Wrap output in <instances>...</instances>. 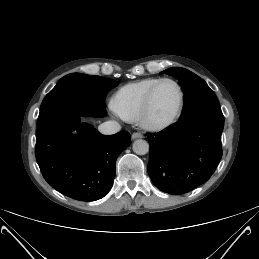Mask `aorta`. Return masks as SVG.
I'll return each mask as SVG.
<instances>
[{
	"label": "aorta",
	"instance_id": "1",
	"mask_svg": "<svg viewBox=\"0 0 259 259\" xmlns=\"http://www.w3.org/2000/svg\"><path fill=\"white\" fill-rule=\"evenodd\" d=\"M132 148L137 155H145L149 152L148 142L142 139L135 140Z\"/></svg>",
	"mask_w": 259,
	"mask_h": 259
}]
</instances>
